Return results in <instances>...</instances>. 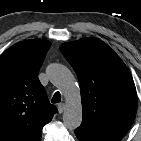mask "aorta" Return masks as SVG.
<instances>
[{
	"instance_id": "1",
	"label": "aorta",
	"mask_w": 141,
	"mask_h": 141,
	"mask_svg": "<svg viewBox=\"0 0 141 141\" xmlns=\"http://www.w3.org/2000/svg\"><path fill=\"white\" fill-rule=\"evenodd\" d=\"M47 74L66 99V108L63 113L64 125L70 130L78 128L82 122V105L80 90L74 75L69 68L59 63L50 64Z\"/></svg>"
}]
</instances>
